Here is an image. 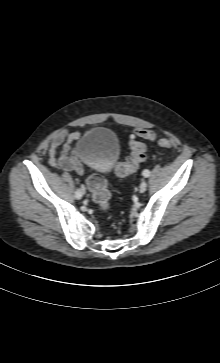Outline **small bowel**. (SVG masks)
<instances>
[{"label": "small bowel", "instance_id": "small-bowel-1", "mask_svg": "<svg viewBox=\"0 0 220 363\" xmlns=\"http://www.w3.org/2000/svg\"><path fill=\"white\" fill-rule=\"evenodd\" d=\"M80 136L79 132L62 130L57 132L51 140L48 157L49 163L58 169L83 173V166L77 152L70 150V143Z\"/></svg>", "mask_w": 220, "mask_h": 363}]
</instances>
